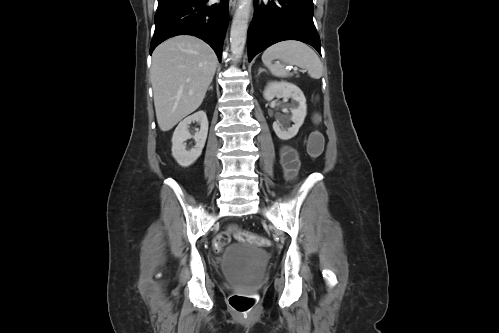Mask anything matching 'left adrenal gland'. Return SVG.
Segmentation results:
<instances>
[{
  "instance_id": "obj_1",
  "label": "left adrenal gland",
  "mask_w": 499,
  "mask_h": 333,
  "mask_svg": "<svg viewBox=\"0 0 499 333\" xmlns=\"http://www.w3.org/2000/svg\"><path fill=\"white\" fill-rule=\"evenodd\" d=\"M264 71H265L264 69H261V68H260V69H259V71H258V75H260V73H262V72H264Z\"/></svg>"
}]
</instances>
